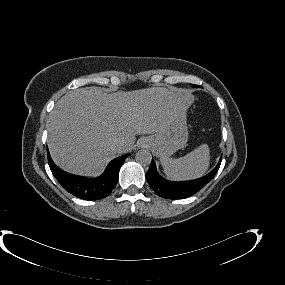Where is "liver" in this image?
Segmentation results:
<instances>
[{
    "label": "liver",
    "instance_id": "6515ba94",
    "mask_svg": "<svg viewBox=\"0 0 285 285\" xmlns=\"http://www.w3.org/2000/svg\"><path fill=\"white\" fill-rule=\"evenodd\" d=\"M193 101L191 95L164 87L112 94L97 87L69 91L47 121L50 154L69 173L96 176L133 147L135 135L159 132Z\"/></svg>",
    "mask_w": 285,
    "mask_h": 285
}]
</instances>
